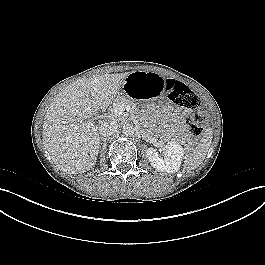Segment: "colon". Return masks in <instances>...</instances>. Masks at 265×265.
I'll use <instances>...</instances> for the list:
<instances>
[{
  "instance_id": "1",
  "label": "colon",
  "mask_w": 265,
  "mask_h": 265,
  "mask_svg": "<svg viewBox=\"0 0 265 265\" xmlns=\"http://www.w3.org/2000/svg\"><path fill=\"white\" fill-rule=\"evenodd\" d=\"M165 90L171 103L189 109H196V112L187 118V125L194 135H200L206 125L207 115L200 108L201 101L199 97L186 84L173 79L165 80Z\"/></svg>"
}]
</instances>
